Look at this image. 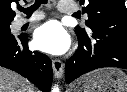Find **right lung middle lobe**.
Listing matches in <instances>:
<instances>
[{"label": "right lung middle lobe", "instance_id": "obj_1", "mask_svg": "<svg viewBox=\"0 0 127 92\" xmlns=\"http://www.w3.org/2000/svg\"><path fill=\"white\" fill-rule=\"evenodd\" d=\"M10 24L0 25V37H12Z\"/></svg>", "mask_w": 127, "mask_h": 92}]
</instances>
